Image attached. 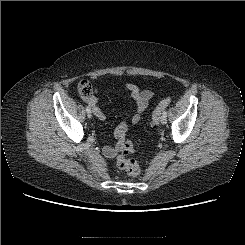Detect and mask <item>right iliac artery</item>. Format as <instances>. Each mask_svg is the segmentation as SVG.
<instances>
[{
	"label": "right iliac artery",
	"mask_w": 245,
	"mask_h": 245,
	"mask_svg": "<svg viewBox=\"0 0 245 245\" xmlns=\"http://www.w3.org/2000/svg\"><path fill=\"white\" fill-rule=\"evenodd\" d=\"M86 111L87 112H90L91 111V108L89 106L86 107Z\"/></svg>",
	"instance_id": "right-iliac-artery-1"
}]
</instances>
